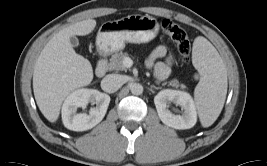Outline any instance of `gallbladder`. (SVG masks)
Segmentation results:
<instances>
[{
    "label": "gallbladder",
    "instance_id": "bac80fb5",
    "mask_svg": "<svg viewBox=\"0 0 267 166\" xmlns=\"http://www.w3.org/2000/svg\"><path fill=\"white\" fill-rule=\"evenodd\" d=\"M70 43L73 47H77L79 45V40L75 36L70 37Z\"/></svg>",
    "mask_w": 267,
    "mask_h": 166
}]
</instances>
